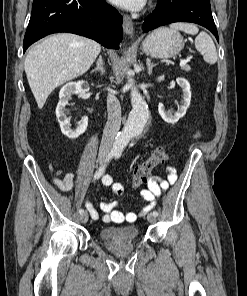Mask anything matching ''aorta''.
Returning a JSON list of instances; mask_svg holds the SVG:
<instances>
[{
    "label": "aorta",
    "mask_w": 247,
    "mask_h": 296,
    "mask_svg": "<svg viewBox=\"0 0 247 296\" xmlns=\"http://www.w3.org/2000/svg\"><path fill=\"white\" fill-rule=\"evenodd\" d=\"M127 86L131 90L132 110L129 113L123 130L118 133L115 139L114 147L120 150H123L127 146L132 137L142 133L149 119L148 105L135 87L134 79L130 77V72L127 76Z\"/></svg>",
    "instance_id": "762f6f07"
}]
</instances>
